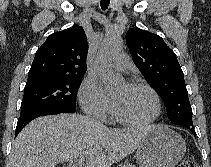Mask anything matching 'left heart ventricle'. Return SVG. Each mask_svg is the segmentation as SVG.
Listing matches in <instances>:
<instances>
[{
    "mask_svg": "<svg viewBox=\"0 0 211 167\" xmlns=\"http://www.w3.org/2000/svg\"><path fill=\"white\" fill-rule=\"evenodd\" d=\"M114 108L124 118L133 121L150 119L156 111L155 100L146 89L121 85L112 95Z\"/></svg>",
    "mask_w": 211,
    "mask_h": 167,
    "instance_id": "obj_1",
    "label": "left heart ventricle"
}]
</instances>
